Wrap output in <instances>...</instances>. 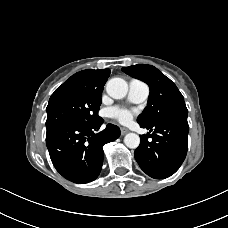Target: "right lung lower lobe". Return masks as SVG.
<instances>
[{
	"instance_id": "98d812e1",
	"label": "right lung lower lobe",
	"mask_w": 228,
	"mask_h": 228,
	"mask_svg": "<svg viewBox=\"0 0 228 228\" xmlns=\"http://www.w3.org/2000/svg\"><path fill=\"white\" fill-rule=\"evenodd\" d=\"M103 119L91 123H65L47 131L46 145L56 170L74 183L95 180L103 163V146L119 138L120 129L107 124L99 133Z\"/></svg>"
}]
</instances>
